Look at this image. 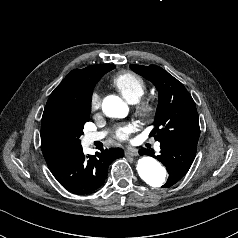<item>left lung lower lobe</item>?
<instances>
[{
    "label": "left lung lower lobe",
    "mask_w": 238,
    "mask_h": 238,
    "mask_svg": "<svg viewBox=\"0 0 238 238\" xmlns=\"http://www.w3.org/2000/svg\"><path fill=\"white\" fill-rule=\"evenodd\" d=\"M161 152L156 156L166 167L169 178L162 186L170 187L177 183L190 169L197 150V143L184 141H165L160 143ZM140 154H148L154 157L150 150L142 149Z\"/></svg>",
    "instance_id": "left-lung-lower-lobe-1"
}]
</instances>
